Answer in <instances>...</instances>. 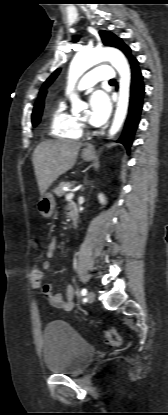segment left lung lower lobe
I'll return each mask as SVG.
<instances>
[{
	"mask_svg": "<svg viewBox=\"0 0 168 415\" xmlns=\"http://www.w3.org/2000/svg\"><path fill=\"white\" fill-rule=\"evenodd\" d=\"M129 64L132 73L129 113L122 136L118 140L119 143H122L126 147L128 152H130L133 136L140 120V114L143 107V97L145 93L143 76L139 69L137 59L131 57L129 59Z\"/></svg>",
	"mask_w": 168,
	"mask_h": 415,
	"instance_id": "1",
	"label": "left lung lower lobe"
}]
</instances>
